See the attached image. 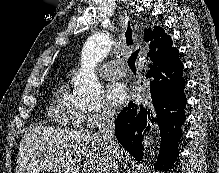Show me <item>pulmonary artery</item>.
I'll return each instance as SVG.
<instances>
[{
	"label": "pulmonary artery",
	"mask_w": 219,
	"mask_h": 173,
	"mask_svg": "<svg viewBox=\"0 0 219 173\" xmlns=\"http://www.w3.org/2000/svg\"><path fill=\"white\" fill-rule=\"evenodd\" d=\"M126 69L120 59L112 60L100 68V75L105 79L121 78L125 75Z\"/></svg>",
	"instance_id": "1"
}]
</instances>
